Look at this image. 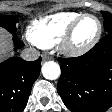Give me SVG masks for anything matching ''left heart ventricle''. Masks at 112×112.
<instances>
[{"mask_svg":"<svg viewBox=\"0 0 112 112\" xmlns=\"http://www.w3.org/2000/svg\"><path fill=\"white\" fill-rule=\"evenodd\" d=\"M97 30L98 23L94 18H84L75 30L73 44L77 47L86 45L95 37Z\"/></svg>","mask_w":112,"mask_h":112,"instance_id":"1","label":"left heart ventricle"}]
</instances>
